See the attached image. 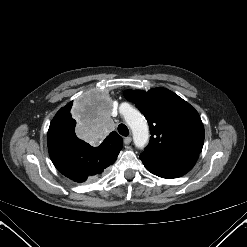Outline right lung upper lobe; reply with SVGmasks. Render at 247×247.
Masks as SVG:
<instances>
[{"instance_id":"cb5924a9","label":"right lung upper lobe","mask_w":247,"mask_h":247,"mask_svg":"<svg viewBox=\"0 0 247 247\" xmlns=\"http://www.w3.org/2000/svg\"><path fill=\"white\" fill-rule=\"evenodd\" d=\"M71 106L72 102H69L65 107L61 108L53 118L50 126H57V120L60 118V116L65 115L70 110ZM122 142V138L116 132H111L109 136H107L106 139L102 142V144L114 149L121 150Z\"/></svg>"}]
</instances>
